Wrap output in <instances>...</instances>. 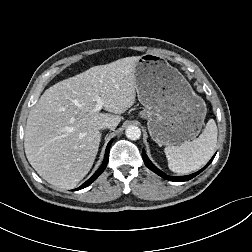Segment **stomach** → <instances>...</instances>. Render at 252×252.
<instances>
[{
	"mask_svg": "<svg viewBox=\"0 0 252 252\" xmlns=\"http://www.w3.org/2000/svg\"><path fill=\"white\" fill-rule=\"evenodd\" d=\"M139 113L147 119L151 138L159 145H180L196 138L206 117L204 100L183 75L162 56L144 54L135 64Z\"/></svg>",
	"mask_w": 252,
	"mask_h": 252,
	"instance_id": "0dacf381",
	"label": "stomach"
}]
</instances>
